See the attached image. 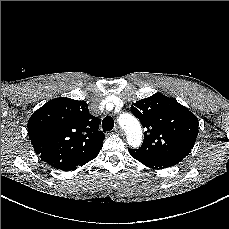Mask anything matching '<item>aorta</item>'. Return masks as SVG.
Listing matches in <instances>:
<instances>
[{"label":"aorta","mask_w":229,"mask_h":229,"mask_svg":"<svg viewBox=\"0 0 229 229\" xmlns=\"http://www.w3.org/2000/svg\"><path fill=\"white\" fill-rule=\"evenodd\" d=\"M118 121L126 130L128 144L134 148L139 147L142 142V130L136 118L131 114L124 113Z\"/></svg>","instance_id":"1"}]
</instances>
